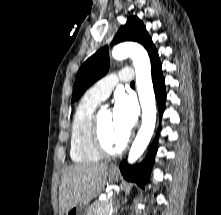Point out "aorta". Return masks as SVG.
Listing matches in <instances>:
<instances>
[{
    "label": "aorta",
    "instance_id": "762f6f07",
    "mask_svg": "<svg viewBox=\"0 0 221 215\" xmlns=\"http://www.w3.org/2000/svg\"><path fill=\"white\" fill-rule=\"evenodd\" d=\"M112 56L116 60L130 57L136 74V86L142 108V124L131 146L128 162L134 163L149 144L156 124V102L151 78V64L147 51L139 44L128 42L115 46Z\"/></svg>",
    "mask_w": 221,
    "mask_h": 215
}]
</instances>
